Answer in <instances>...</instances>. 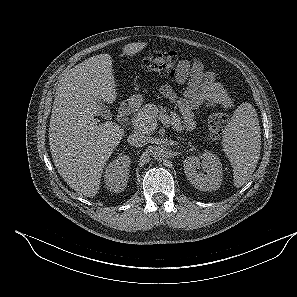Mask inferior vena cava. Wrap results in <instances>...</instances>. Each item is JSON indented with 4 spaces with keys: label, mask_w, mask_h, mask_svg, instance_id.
Wrapping results in <instances>:
<instances>
[{
    "label": "inferior vena cava",
    "mask_w": 297,
    "mask_h": 297,
    "mask_svg": "<svg viewBox=\"0 0 297 297\" xmlns=\"http://www.w3.org/2000/svg\"><path fill=\"white\" fill-rule=\"evenodd\" d=\"M127 140L131 146L135 147H142L148 143V138L145 135L139 133L129 135Z\"/></svg>",
    "instance_id": "inferior-vena-cava-1"
}]
</instances>
